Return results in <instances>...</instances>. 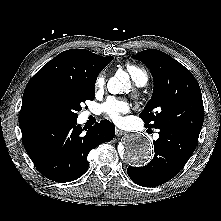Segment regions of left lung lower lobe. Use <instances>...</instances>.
I'll list each match as a JSON object with an SVG mask.
<instances>
[{
	"label": "left lung lower lobe",
	"mask_w": 221,
	"mask_h": 221,
	"mask_svg": "<svg viewBox=\"0 0 221 221\" xmlns=\"http://www.w3.org/2000/svg\"><path fill=\"white\" fill-rule=\"evenodd\" d=\"M159 130V139L153 141L155 155L151 162L127 169L131 180L140 186L155 187L172 179L196 148L199 136L174 127Z\"/></svg>",
	"instance_id": "left-lung-lower-lobe-1"
}]
</instances>
